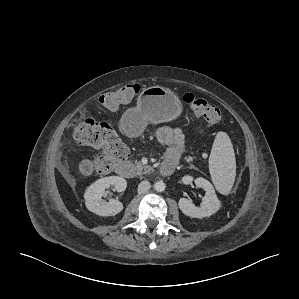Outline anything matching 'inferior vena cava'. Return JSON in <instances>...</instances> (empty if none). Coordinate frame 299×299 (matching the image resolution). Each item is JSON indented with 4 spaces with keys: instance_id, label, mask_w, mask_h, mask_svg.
<instances>
[{
    "instance_id": "1",
    "label": "inferior vena cava",
    "mask_w": 299,
    "mask_h": 299,
    "mask_svg": "<svg viewBox=\"0 0 299 299\" xmlns=\"http://www.w3.org/2000/svg\"><path fill=\"white\" fill-rule=\"evenodd\" d=\"M150 188H151V184H150L149 181H147V180L141 181L140 184L138 185V193H139V194H144V193H146Z\"/></svg>"
}]
</instances>
